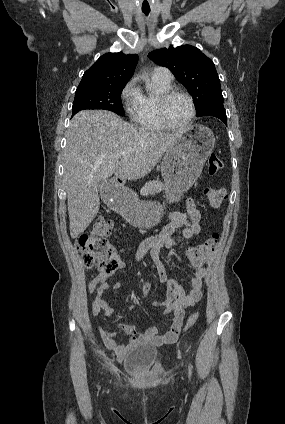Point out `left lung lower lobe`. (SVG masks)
Segmentation results:
<instances>
[{
	"label": "left lung lower lobe",
	"instance_id": "left-lung-lower-lobe-1",
	"mask_svg": "<svg viewBox=\"0 0 285 424\" xmlns=\"http://www.w3.org/2000/svg\"><path fill=\"white\" fill-rule=\"evenodd\" d=\"M202 116L217 117L227 125V116H226L223 103H214L209 105L205 110L197 114V117H202Z\"/></svg>",
	"mask_w": 285,
	"mask_h": 424
}]
</instances>
